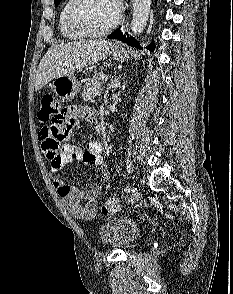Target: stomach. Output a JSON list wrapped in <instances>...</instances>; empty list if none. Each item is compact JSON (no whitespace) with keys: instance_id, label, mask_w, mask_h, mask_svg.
I'll return each instance as SVG.
<instances>
[{"instance_id":"obj_1","label":"stomach","mask_w":233,"mask_h":294,"mask_svg":"<svg viewBox=\"0 0 233 294\" xmlns=\"http://www.w3.org/2000/svg\"><path fill=\"white\" fill-rule=\"evenodd\" d=\"M109 55L120 62L130 58V52L119 44L111 47ZM51 87L59 98L66 100L75 97L80 90V84L73 72L54 78Z\"/></svg>"}]
</instances>
